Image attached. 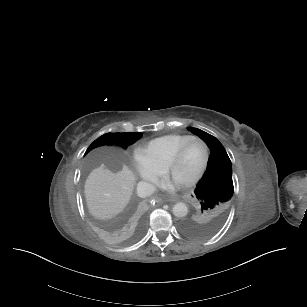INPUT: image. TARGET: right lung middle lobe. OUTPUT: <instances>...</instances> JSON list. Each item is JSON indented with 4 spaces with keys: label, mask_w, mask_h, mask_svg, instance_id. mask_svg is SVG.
Here are the masks:
<instances>
[{
    "label": "right lung middle lobe",
    "mask_w": 307,
    "mask_h": 307,
    "mask_svg": "<svg viewBox=\"0 0 307 307\" xmlns=\"http://www.w3.org/2000/svg\"><path fill=\"white\" fill-rule=\"evenodd\" d=\"M141 137V133L127 132V133H107L96 139L87 149L86 153L91 149L101 145H117L123 148L133 144ZM85 153V154H86Z\"/></svg>",
    "instance_id": "1"
}]
</instances>
